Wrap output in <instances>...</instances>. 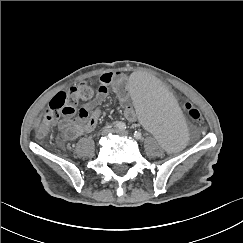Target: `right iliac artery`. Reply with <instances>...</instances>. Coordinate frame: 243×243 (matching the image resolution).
Listing matches in <instances>:
<instances>
[{"label":"right iliac artery","mask_w":243,"mask_h":243,"mask_svg":"<svg viewBox=\"0 0 243 243\" xmlns=\"http://www.w3.org/2000/svg\"><path fill=\"white\" fill-rule=\"evenodd\" d=\"M114 126L117 127L118 129L124 130L126 129V125L123 122L117 121L114 123Z\"/></svg>","instance_id":"82829eb1"}]
</instances>
